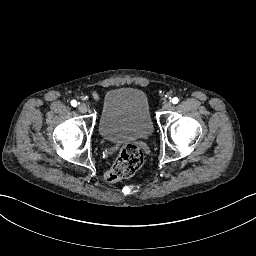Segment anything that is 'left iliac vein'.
<instances>
[{
    "label": "left iliac vein",
    "mask_w": 256,
    "mask_h": 256,
    "mask_svg": "<svg viewBox=\"0 0 256 256\" xmlns=\"http://www.w3.org/2000/svg\"><path fill=\"white\" fill-rule=\"evenodd\" d=\"M163 110H170L172 108V103L170 101H165L162 104Z\"/></svg>",
    "instance_id": "4c4485c4"
}]
</instances>
